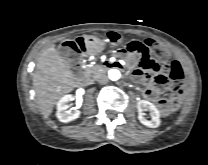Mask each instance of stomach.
<instances>
[{"label":"stomach","mask_w":208,"mask_h":165,"mask_svg":"<svg viewBox=\"0 0 208 165\" xmlns=\"http://www.w3.org/2000/svg\"><path fill=\"white\" fill-rule=\"evenodd\" d=\"M84 42L92 52H99L106 46L103 40L93 35L85 36Z\"/></svg>","instance_id":"stomach-1"}]
</instances>
